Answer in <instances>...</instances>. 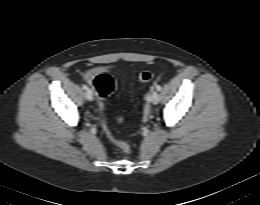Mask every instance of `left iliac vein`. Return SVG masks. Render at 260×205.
<instances>
[{"label":"left iliac vein","mask_w":260,"mask_h":205,"mask_svg":"<svg viewBox=\"0 0 260 205\" xmlns=\"http://www.w3.org/2000/svg\"><path fill=\"white\" fill-rule=\"evenodd\" d=\"M160 100L159 93L157 91H152L150 95V102L154 105L158 104Z\"/></svg>","instance_id":"4c4485c4"}]
</instances>
